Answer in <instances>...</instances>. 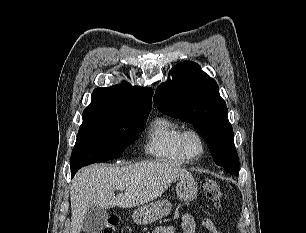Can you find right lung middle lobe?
<instances>
[{"instance_id": "right-lung-middle-lobe-1", "label": "right lung middle lobe", "mask_w": 306, "mask_h": 233, "mask_svg": "<svg viewBox=\"0 0 306 233\" xmlns=\"http://www.w3.org/2000/svg\"><path fill=\"white\" fill-rule=\"evenodd\" d=\"M76 144L71 154V172L85 165L119 157L139 132L148 114H124L113 111H84Z\"/></svg>"}]
</instances>
